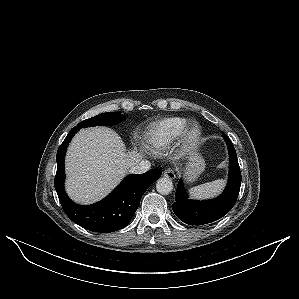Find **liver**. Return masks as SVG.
I'll use <instances>...</instances> for the list:
<instances>
[{
	"mask_svg": "<svg viewBox=\"0 0 299 299\" xmlns=\"http://www.w3.org/2000/svg\"><path fill=\"white\" fill-rule=\"evenodd\" d=\"M142 157V153L135 150L126 153L121 137L110 128L81 129L66 154V191L80 204L99 201Z\"/></svg>",
	"mask_w": 299,
	"mask_h": 299,
	"instance_id": "1",
	"label": "liver"
}]
</instances>
